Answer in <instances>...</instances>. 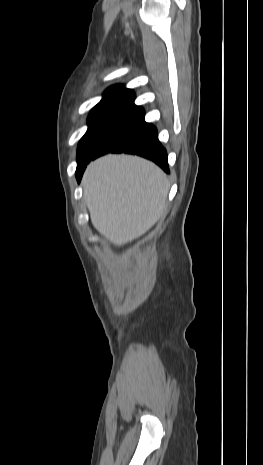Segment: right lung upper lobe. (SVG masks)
I'll list each match as a JSON object with an SVG mask.
<instances>
[{
	"mask_svg": "<svg viewBox=\"0 0 263 465\" xmlns=\"http://www.w3.org/2000/svg\"><path fill=\"white\" fill-rule=\"evenodd\" d=\"M135 94L132 90L124 88L122 85H115L106 90L101 102L106 101H133Z\"/></svg>",
	"mask_w": 263,
	"mask_h": 465,
	"instance_id": "cb5924a9",
	"label": "right lung upper lobe"
}]
</instances>
